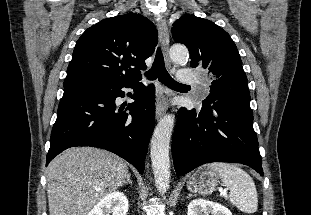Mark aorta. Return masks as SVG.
<instances>
[{
	"label": "aorta",
	"instance_id": "1",
	"mask_svg": "<svg viewBox=\"0 0 311 215\" xmlns=\"http://www.w3.org/2000/svg\"><path fill=\"white\" fill-rule=\"evenodd\" d=\"M170 58L174 62H184L188 59V49L183 45H173L170 48ZM174 128V116L165 115L158 122L151 139V161L155 183L161 194L166 193L170 184L169 144Z\"/></svg>",
	"mask_w": 311,
	"mask_h": 215
}]
</instances>
